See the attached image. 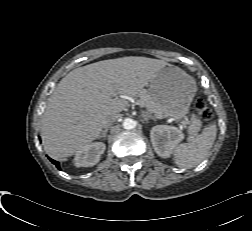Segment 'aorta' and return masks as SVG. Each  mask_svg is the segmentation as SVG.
<instances>
[{"label": "aorta", "mask_w": 252, "mask_h": 231, "mask_svg": "<svg viewBox=\"0 0 252 231\" xmlns=\"http://www.w3.org/2000/svg\"><path fill=\"white\" fill-rule=\"evenodd\" d=\"M123 127L127 130L133 129L135 127V121L131 118H126L123 121Z\"/></svg>", "instance_id": "obj_1"}]
</instances>
